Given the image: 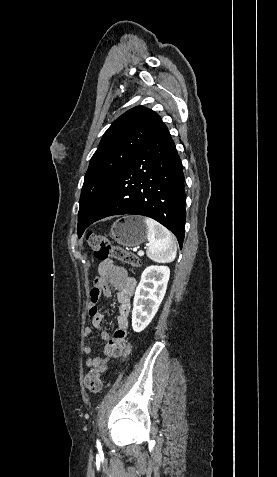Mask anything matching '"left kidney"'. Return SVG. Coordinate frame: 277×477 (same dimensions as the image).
<instances>
[{"label": "left kidney", "mask_w": 277, "mask_h": 477, "mask_svg": "<svg viewBox=\"0 0 277 477\" xmlns=\"http://www.w3.org/2000/svg\"><path fill=\"white\" fill-rule=\"evenodd\" d=\"M170 277L167 266H149L142 275L133 301L132 328L143 331L158 311Z\"/></svg>", "instance_id": "1"}]
</instances>
